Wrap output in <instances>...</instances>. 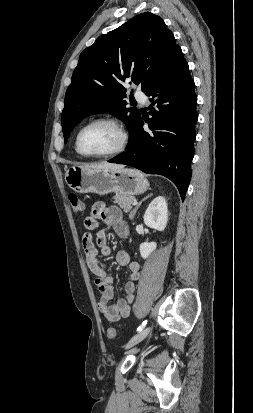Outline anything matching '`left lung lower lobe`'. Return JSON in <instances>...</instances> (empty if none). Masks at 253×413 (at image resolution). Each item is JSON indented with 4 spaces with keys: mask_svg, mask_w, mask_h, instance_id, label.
I'll return each mask as SVG.
<instances>
[{
    "mask_svg": "<svg viewBox=\"0 0 253 413\" xmlns=\"http://www.w3.org/2000/svg\"><path fill=\"white\" fill-rule=\"evenodd\" d=\"M151 96L149 128L139 120L136 136L122 154L109 162L135 167L148 174L170 179L178 188L182 200L191 179V161L196 138L197 97L194 81L179 47L163 74L145 93Z\"/></svg>",
    "mask_w": 253,
    "mask_h": 413,
    "instance_id": "left-lung-lower-lobe-1",
    "label": "left lung lower lobe"
}]
</instances>
